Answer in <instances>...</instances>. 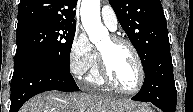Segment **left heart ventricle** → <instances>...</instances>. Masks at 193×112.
Here are the masks:
<instances>
[{
  "mask_svg": "<svg viewBox=\"0 0 193 112\" xmlns=\"http://www.w3.org/2000/svg\"><path fill=\"white\" fill-rule=\"evenodd\" d=\"M98 50L103 55L107 69L114 82L123 89H133L138 81V69L131 50L106 39Z\"/></svg>",
  "mask_w": 193,
  "mask_h": 112,
  "instance_id": "b2bd125f",
  "label": "left heart ventricle"
}]
</instances>
